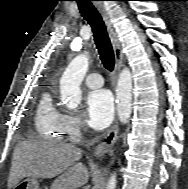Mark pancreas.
<instances>
[{"mask_svg": "<svg viewBox=\"0 0 188 189\" xmlns=\"http://www.w3.org/2000/svg\"><path fill=\"white\" fill-rule=\"evenodd\" d=\"M58 184H59V180H57L52 184L51 189H57Z\"/></svg>", "mask_w": 188, "mask_h": 189, "instance_id": "pancreas-1", "label": "pancreas"}]
</instances>
